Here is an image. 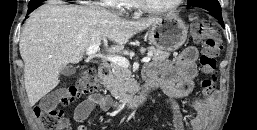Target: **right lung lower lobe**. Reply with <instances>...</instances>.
<instances>
[{
	"instance_id": "right-lung-lower-lobe-1",
	"label": "right lung lower lobe",
	"mask_w": 257,
	"mask_h": 130,
	"mask_svg": "<svg viewBox=\"0 0 257 130\" xmlns=\"http://www.w3.org/2000/svg\"><path fill=\"white\" fill-rule=\"evenodd\" d=\"M43 1H41V3H42ZM34 9H31V8H28V13L29 12H31V11H33Z\"/></svg>"
}]
</instances>
